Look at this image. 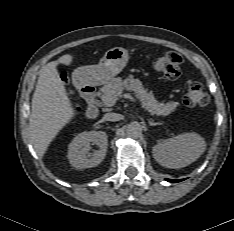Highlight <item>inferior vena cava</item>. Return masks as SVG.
Masks as SVG:
<instances>
[{
    "label": "inferior vena cava",
    "instance_id": "602c4592",
    "mask_svg": "<svg viewBox=\"0 0 234 231\" xmlns=\"http://www.w3.org/2000/svg\"><path fill=\"white\" fill-rule=\"evenodd\" d=\"M103 118L106 121H119L121 119V115L118 113H106Z\"/></svg>",
    "mask_w": 234,
    "mask_h": 231
}]
</instances>
